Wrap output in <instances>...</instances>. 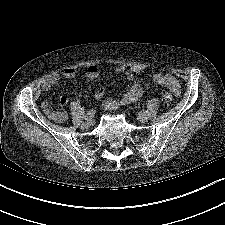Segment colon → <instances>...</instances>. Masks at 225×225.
<instances>
[{"mask_svg":"<svg viewBox=\"0 0 225 225\" xmlns=\"http://www.w3.org/2000/svg\"><path fill=\"white\" fill-rule=\"evenodd\" d=\"M163 99H164V102L166 105H170L171 102H172V95L168 92H165L164 95H163Z\"/></svg>","mask_w":225,"mask_h":225,"instance_id":"obj_1","label":"colon"}]
</instances>
